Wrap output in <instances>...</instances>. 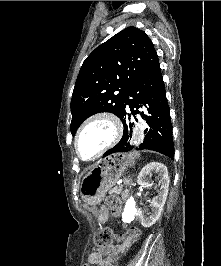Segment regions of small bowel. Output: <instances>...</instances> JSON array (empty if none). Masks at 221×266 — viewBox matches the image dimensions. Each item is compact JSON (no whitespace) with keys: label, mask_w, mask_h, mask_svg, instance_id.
I'll return each mask as SVG.
<instances>
[{"label":"small bowel","mask_w":221,"mask_h":266,"mask_svg":"<svg viewBox=\"0 0 221 266\" xmlns=\"http://www.w3.org/2000/svg\"><path fill=\"white\" fill-rule=\"evenodd\" d=\"M131 245V239L126 236L115 245L107 246L91 253L84 266H114L119 256Z\"/></svg>","instance_id":"c3829d8e"}]
</instances>
